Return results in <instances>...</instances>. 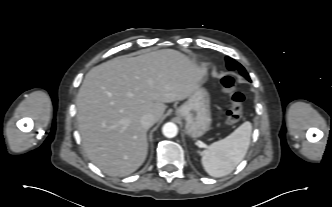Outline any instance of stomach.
Returning <instances> with one entry per match:
<instances>
[{
    "instance_id": "1",
    "label": "stomach",
    "mask_w": 332,
    "mask_h": 207,
    "mask_svg": "<svg viewBox=\"0 0 332 207\" xmlns=\"http://www.w3.org/2000/svg\"><path fill=\"white\" fill-rule=\"evenodd\" d=\"M176 115L185 120L186 134L192 138L202 136L211 125L210 97L199 85L179 108Z\"/></svg>"
}]
</instances>
